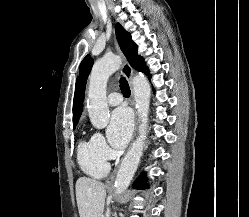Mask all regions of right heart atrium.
Listing matches in <instances>:
<instances>
[{
	"label": "right heart atrium",
	"mask_w": 249,
	"mask_h": 217,
	"mask_svg": "<svg viewBox=\"0 0 249 217\" xmlns=\"http://www.w3.org/2000/svg\"><path fill=\"white\" fill-rule=\"evenodd\" d=\"M92 142L94 144L95 149L101 155L102 158L108 160L111 157L112 151L107 145L106 140L101 133H94L92 136Z\"/></svg>",
	"instance_id": "1"
}]
</instances>
